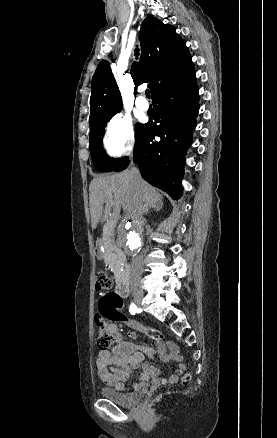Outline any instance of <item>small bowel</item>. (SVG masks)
<instances>
[{"mask_svg": "<svg viewBox=\"0 0 277 438\" xmlns=\"http://www.w3.org/2000/svg\"><path fill=\"white\" fill-rule=\"evenodd\" d=\"M136 322L128 321L129 337L132 339L137 338V334L134 332ZM107 331L115 336V344L111 351H101L96 360L97 373L101 381L112 386L120 391H126L127 387L125 382L129 379L131 372L134 368L138 367L141 360L144 357V353L153 355L154 350L147 348L143 352L139 347L131 341L123 339L122 334L119 331L117 325L112 324L107 327ZM154 349L159 350L163 348V343L156 341L153 344ZM169 352L161 350L160 359L163 361H169L173 359L178 364V368L171 376V381H177L186 369L183 357L180 355L179 348L174 344H167ZM144 372L141 376V381L136 387L145 385L150 379L159 380L158 372L151 365L152 362L149 359L144 360Z\"/></svg>", "mask_w": 277, "mask_h": 438, "instance_id": "c3829d8e", "label": "small bowel"}]
</instances>
